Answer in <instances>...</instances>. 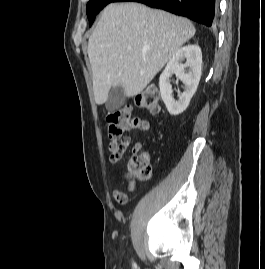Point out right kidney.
<instances>
[{
    "label": "right kidney",
    "mask_w": 265,
    "mask_h": 269,
    "mask_svg": "<svg viewBox=\"0 0 265 269\" xmlns=\"http://www.w3.org/2000/svg\"><path fill=\"white\" fill-rule=\"evenodd\" d=\"M186 62L183 64V61ZM188 68V72H186ZM175 74L185 85L184 92L178 91V100L172 95L170 78ZM202 74V52L198 45H186L180 48L167 63L159 79L160 93L168 112L171 115H179L189 105V102L197 90Z\"/></svg>",
    "instance_id": "right-kidney-1"
}]
</instances>
